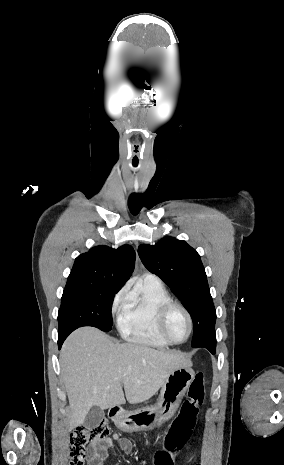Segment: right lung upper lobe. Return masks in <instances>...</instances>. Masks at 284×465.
Wrapping results in <instances>:
<instances>
[{
	"instance_id": "1",
	"label": "right lung upper lobe",
	"mask_w": 284,
	"mask_h": 465,
	"mask_svg": "<svg viewBox=\"0 0 284 465\" xmlns=\"http://www.w3.org/2000/svg\"><path fill=\"white\" fill-rule=\"evenodd\" d=\"M135 264V252L130 245L118 249L97 246L79 255L68 280H83L120 289L130 278Z\"/></svg>"
}]
</instances>
